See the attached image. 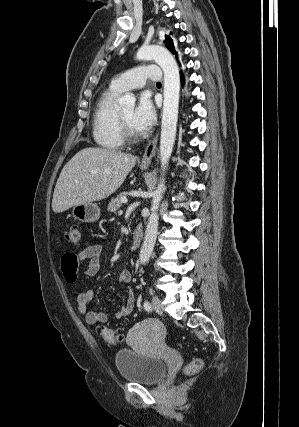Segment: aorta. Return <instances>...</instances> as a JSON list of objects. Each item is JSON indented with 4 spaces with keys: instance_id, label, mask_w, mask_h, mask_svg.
<instances>
[{
    "instance_id": "aorta-1",
    "label": "aorta",
    "mask_w": 299,
    "mask_h": 427,
    "mask_svg": "<svg viewBox=\"0 0 299 427\" xmlns=\"http://www.w3.org/2000/svg\"><path fill=\"white\" fill-rule=\"evenodd\" d=\"M136 58L138 60H154L164 73V101L160 137V162L162 172L164 173L176 138L180 93L179 68L172 54L161 46H142L137 51ZM135 101V96L127 93L120 98L119 105L123 109L133 110ZM165 190V180L162 177L153 193L151 215L147 223L145 238L139 255L141 264H146L149 261L155 246L159 221L158 209Z\"/></svg>"
}]
</instances>
